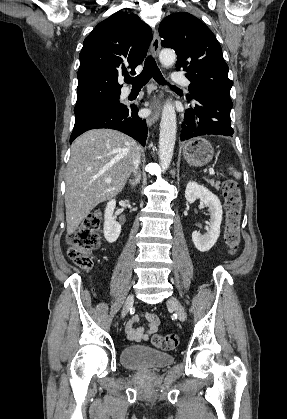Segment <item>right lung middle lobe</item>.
<instances>
[{"mask_svg":"<svg viewBox=\"0 0 287 419\" xmlns=\"http://www.w3.org/2000/svg\"><path fill=\"white\" fill-rule=\"evenodd\" d=\"M119 98H120V95H116L113 97H108V98L90 103L88 105L75 107L74 109L75 121L95 111L109 109V108L124 107L125 105L119 102Z\"/></svg>","mask_w":287,"mask_h":419,"instance_id":"right-lung-middle-lobe-1","label":"right lung middle lobe"}]
</instances>
